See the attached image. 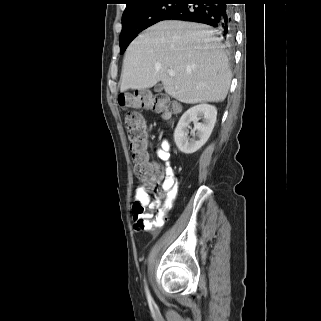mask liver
I'll list each match as a JSON object with an SVG mask.
<instances>
[{"label": "liver", "mask_w": 321, "mask_h": 321, "mask_svg": "<svg viewBox=\"0 0 321 321\" xmlns=\"http://www.w3.org/2000/svg\"><path fill=\"white\" fill-rule=\"evenodd\" d=\"M159 81L168 95L182 103L223 101L231 72L215 31L197 23L168 20L140 34L126 50L120 91L148 89Z\"/></svg>", "instance_id": "obj_1"}]
</instances>
